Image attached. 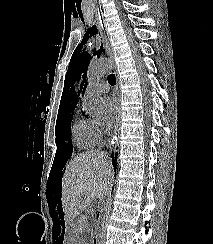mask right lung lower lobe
Here are the masks:
<instances>
[{
    "mask_svg": "<svg viewBox=\"0 0 213 244\" xmlns=\"http://www.w3.org/2000/svg\"><path fill=\"white\" fill-rule=\"evenodd\" d=\"M111 156H112L113 165L115 166L116 165V160H117V153H112Z\"/></svg>",
    "mask_w": 213,
    "mask_h": 244,
    "instance_id": "1",
    "label": "right lung lower lobe"
}]
</instances>
